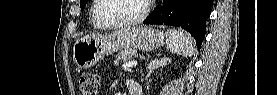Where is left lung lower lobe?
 Returning <instances> with one entry per match:
<instances>
[{"mask_svg": "<svg viewBox=\"0 0 277 95\" xmlns=\"http://www.w3.org/2000/svg\"><path fill=\"white\" fill-rule=\"evenodd\" d=\"M212 3V0H163L144 23L181 27L192 34L200 49Z\"/></svg>", "mask_w": 277, "mask_h": 95, "instance_id": "obj_1", "label": "left lung lower lobe"}]
</instances>
